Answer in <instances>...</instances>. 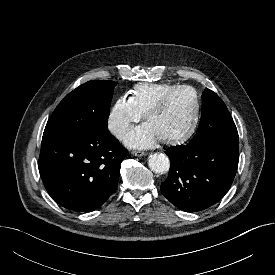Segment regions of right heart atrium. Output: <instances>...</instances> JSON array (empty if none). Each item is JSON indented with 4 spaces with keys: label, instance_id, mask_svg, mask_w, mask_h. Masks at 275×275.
Returning <instances> with one entry per match:
<instances>
[{
    "label": "right heart atrium",
    "instance_id": "right-heart-atrium-1",
    "mask_svg": "<svg viewBox=\"0 0 275 275\" xmlns=\"http://www.w3.org/2000/svg\"><path fill=\"white\" fill-rule=\"evenodd\" d=\"M143 115L135 108L130 98L119 97L113 104L108 116V129L118 139H122L134 123Z\"/></svg>",
    "mask_w": 275,
    "mask_h": 275
}]
</instances>
